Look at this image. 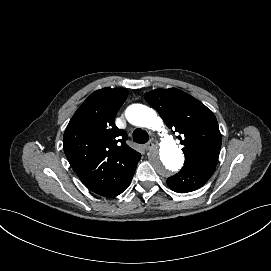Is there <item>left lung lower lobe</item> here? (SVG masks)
<instances>
[{
	"label": "left lung lower lobe",
	"mask_w": 271,
	"mask_h": 271,
	"mask_svg": "<svg viewBox=\"0 0 271 271\" xmlns=\"http://www.w3.org/2000/svg\"><path fill=\"white\" fill-rule=\"evenodd\" d=\"M214 171L215 168L212 165L198 169L183 167L180 172L167 179V185L177 193L192 192L201 188Z\"/></svg>",
	"instance_id": "0a47b994"
}]
</instances>
